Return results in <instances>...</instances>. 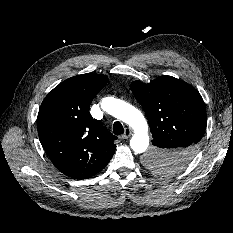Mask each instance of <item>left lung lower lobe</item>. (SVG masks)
<instances>
[{
    "mask_svg": "<svg viewBox=\"0 0 233 233\" xmlns=\"http://www.w3.org/2000/svg\"><path fill=\"white\" fill-rule=\"evenodd\" d=\"M154 141L156 145L164 147L171 152V157L168 159V162L183 164L191 160V144L188 139L176 135H167L156 137Z\"/></svg>",
    "mask_w": 233,
    "mask_h": 233,
    "instance_id": "1",
    "label": "left lung lower lobe"
}]
</instances>
